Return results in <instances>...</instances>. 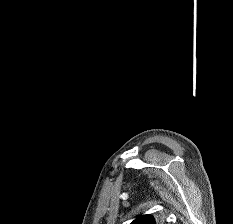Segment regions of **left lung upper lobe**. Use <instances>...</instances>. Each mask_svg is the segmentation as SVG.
I'll return each mask as SVG.
<instances>
[{
  "label": "left lung upper lobe",
  "instance_id": "left-lung-upper-lobe-1",
  "mask_svg": "<svg viewBox=\"0 0 233 224\" xmlns=\"http://www.w3.org/2000/svg\"><path fill=\"white\" fill-rule=\"evenodd\" d=\"M131 224H160L159 219L154 218L151 214L138 216Z\"/></svg>",
  "mask_w": 233,
  "mask_h": 224
}]
</instances>
